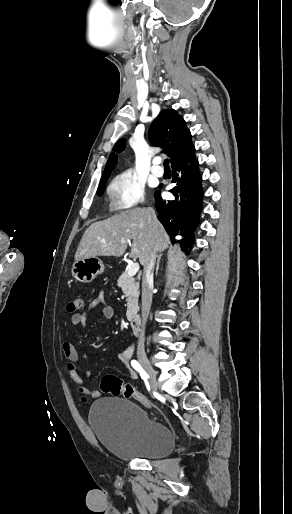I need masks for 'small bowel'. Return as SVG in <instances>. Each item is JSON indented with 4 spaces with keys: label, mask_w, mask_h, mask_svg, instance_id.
<instances>
[{
    "label": "small bowel",
    "mask_w": 292,
    "mask_h": 514,
    "mask_svg": "<svg viewBox=\"0 0 292 514\" xmlns=\"http://www.w3.org/2000/svg\"><path fill=\"white\" fill-rule=\"evenodd\" d=\"M99 309L101 316L106 320H111L115 316L114 308L107 302L104 294L102 292L98 293L95 298L91 301L89 305V311ZM88 313H75L71 316L70 322L73 326L79 327L83 326L86 322ZM63 354L66 361V369L69 378L75 385L76 389L80 392L85 393L90 398H98L101 396V392L96 389H90L85 386L84 378L90 377L92 375L91 372L87 371L85 373H81L75 366V363L78 360V351L76 347L70 342H64L62 346ZM85 358L91 359L90 355H85ZM129 351H124L120 355L121 361L128 365L129 364ZM130 378L136 379L137 374L134 370H130Z\"/></svg>",
    "instance_id": "c3829d8e"
}]
</instances>
